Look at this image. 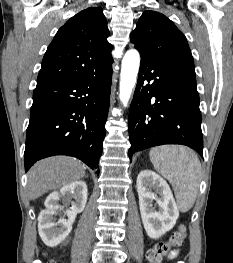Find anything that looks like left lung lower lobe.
<instances>
[{"label": "left lung lower lobe", "instance_id": "1", "mask_svg": "<svg viewBox=\"0 0 233 263\" xmlns=\"http://www.w3.org/2000/svg\"><path fill=\"white\" fill-rule=\"evenodd\" d=\"M128 122L130 159L137 151L162 144H183L202 156L194 68L141 58Z\"/></svg>", "mask_w": 233, "mask_h": 263}]
</instances>
